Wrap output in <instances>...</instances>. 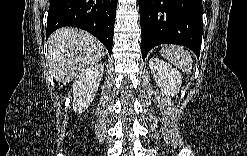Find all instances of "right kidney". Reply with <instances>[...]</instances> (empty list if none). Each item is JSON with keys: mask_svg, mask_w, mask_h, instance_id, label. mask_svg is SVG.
<instances>
[{"mask_svg": "<svg viewBox=\"0 0 247 156\" xmlns=\"http://www.w3.org/2000/svg\"><path fill=\"white\" fill-rule=\"evenodd\" d=\"M104 66L95 64L81 71L73 83V109L82 113L88 108L98 91Z\"/></svg>", "mask_w": 247, "mask_h": 156, "instance_id": "ca27d5eb", "label": "right kidney"}]
</instances>
